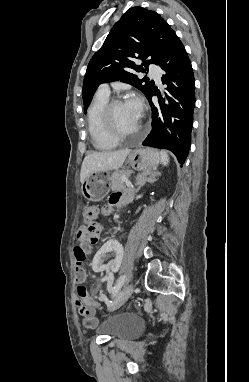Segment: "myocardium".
I'll return each mask as SVG.
<instances>
[{"label":"myocardium","instance_id":"myocardium-1","mask_svg":"<svg viewBox=\"0 0 249 382\" xmlns=\"http://www.w3.org/2000/svg\"><path fill=\"white\" fill-rule=\"evenodd\" d=\"M123 102H124V99L120 97L112 98L108 100V102L105 104L102 110L103 128L108 136H110L112 139L117 141L137 136L138 134H140L143 128V125L141 122L139 123V126L137 127V129L132 133H122L115 127L113 122V116H112L113 109L116 105L121 104Z\"/></svg>","mask_w":249,"mask_h":382}]
</instances>
